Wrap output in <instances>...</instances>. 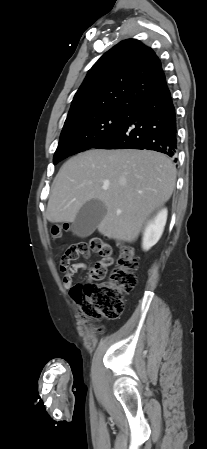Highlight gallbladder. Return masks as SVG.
I'll return each mask as SVG.
<instances>
[{"label": "gallbladder", "mask_w": 207, "mask_h": 449, "mask_svg": "<svg viewBox=\"0 0 207 449\" xmlns=\"http://www.w3.org/2000/svg\"><path fill=\"white\" fill-rule=\"evenodd\" d=\"M106 212V206L100 200L87 201L74 220V233L81 238L90 236L104 218Z\"/></svg>", "instance_id": "bac80fb5"}]
</instances>
